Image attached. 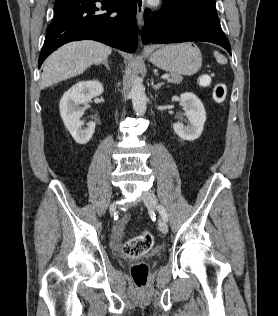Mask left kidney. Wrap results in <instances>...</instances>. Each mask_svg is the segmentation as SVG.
Returning <instances> with one entry per match:
<instances>
[{
    "mask_svg": "<svg viewBox=\"0 0 278 316\" xmlns=\"http://www.w3.org/2000/svg\"><path fill=\"white\" fill-rule=\"evenodd\" d=\"M180 99L190 124L184 126L181 123H175L173 129L180 138L193 141L200 137L203 131L206 111L201 100L193 93H183Z\"/></svg>",
    "mask_w": 278,
    "mask_h": 316,
    "instance_id": "left-kidney-1",
    "label": "left kidney"
}]
</instances>
